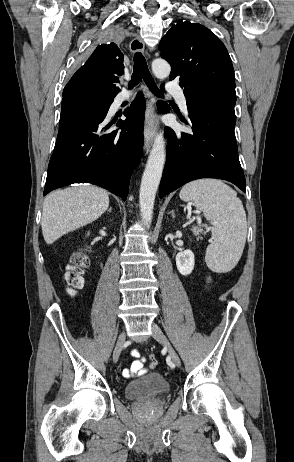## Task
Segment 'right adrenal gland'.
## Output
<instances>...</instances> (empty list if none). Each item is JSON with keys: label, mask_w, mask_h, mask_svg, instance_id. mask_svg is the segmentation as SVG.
<instances>
[{"label": "right adrenal gland", "mask_w": 294, "mask_h": 462, "mask_svg": "<svg viewBox=\"0 0 294 462\" xmlns=\"http://www.w3.org/2000/svg\"><path fill=\"white\" fill-rule=\"evenodd\" d=\"M111 211H112V207H110L107 212H111Z\"/></svg>", "instance_id": "1"}]
</instances>
